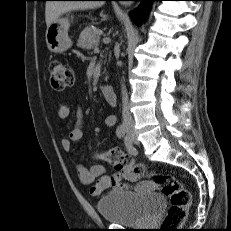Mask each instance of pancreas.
Returning a JSON list of instances; mask_svg holds the SVG:
<instances>
[{"mask_svg":"<svg viewBox=\"0 0 231 231\" xmlns=\"http://www.w3.org/2000/svg\"><path fill=\"white\" fill-rule=\"evenodd\" d=\"M98 44V35L90 27H86L79 36L77 41V46L83 49L90 50L93 47H96Z\"/></svg>","mask_w":231,"mask_h":231,"instance_id":"1","label":"pancreas"}]
</instances>
